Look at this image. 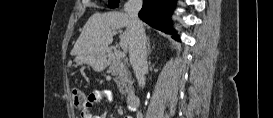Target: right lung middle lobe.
Wrapping results in <instances>:
<instances>
[{
  "mask_svg": "<svg viewBox=\"0 0 273 118\" xmlns=\"http://www.w3.org/2000/svg\"><path fill=\"white\" fill-rule=\"evenodd\" d=\"M108 6L110 8H116L119 6V0H109Z\"/></svg>",
  "mask_w": 273,
  "mask_h": 118,
  "instance_id": "dd1d6c3e",
  "label": "right lung middle lobe"
}]
</instances>
